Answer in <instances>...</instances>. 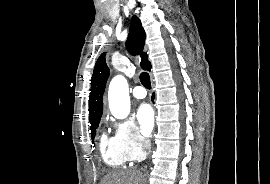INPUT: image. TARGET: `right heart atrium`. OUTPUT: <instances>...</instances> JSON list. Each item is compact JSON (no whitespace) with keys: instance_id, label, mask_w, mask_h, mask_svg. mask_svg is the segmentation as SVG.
I'll list each match as a JSON object with an SVG mask.
<instances>
[{"instance_id":"right-heart-atrium-1","label":"right heart atrium","mask_w":270,"mask_h":184,"mask_svg":"<svg viewBox=\"0 0 270 184\" xmlns=\"http://www.w3.org/2000/svg\"><path fill=\"white\" fill-rule=\"evenodd\" d=\"M114 139L120 150L125 154L129 161H137L143 158L149 140L144 137L132 121L114 122Z\"/></svg>"}]
</instances>
